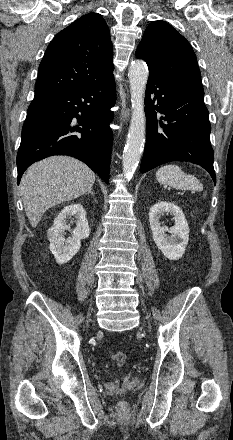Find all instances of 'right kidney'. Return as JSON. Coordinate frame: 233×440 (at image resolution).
<instances>
[{
	"label": "right kidney",
	"mask_w": 233,
	"mask_h": 440,
	"mask_svg": "<svg viewBox=\"0 0 233 440\" xmlns=\"http://www.w3.org/2000/svg\"><path fill=\"white\" fill-rule=\"evenodd\" d=\"M76 219V227L71 230L67 220ZM65 230L71 232V237L65 239ZM90 229L86 218V212L79 203L67 205L54 220L53 226L49 229L47 237L50 241V251L58 264L67 263L79 251L81 240L88 238Z\"/></svg>",
	"instance_id": "obj_1"
}]
</instances>
